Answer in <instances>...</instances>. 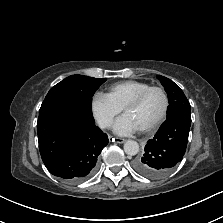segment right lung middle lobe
Instances as JSON below:
<instances>
[{
	"label": "right lung middle lobe",
	"instance_id": "obj_1",
	"mask_svg": "<svg viewBox=\"0 0 223 223\" xmlns=\"http://www.w3.org/2000/svg\"><path fill=\"white\" fill-rule=\"evenodd\" d=\"M105 81L106 78L71 75L50 89L39 112L65 102H74L92 111V96Z\"/></svg>",
	"mask_w": 223,
	"mask_h": 223
}]
</instances>
